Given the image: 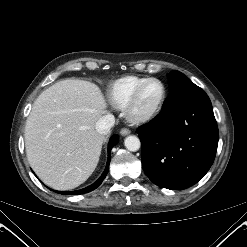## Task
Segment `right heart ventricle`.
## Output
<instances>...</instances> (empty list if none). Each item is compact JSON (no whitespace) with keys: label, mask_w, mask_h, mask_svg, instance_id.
Wrapping results in <instances>:
<instances>
[{"label":"right heart ventricle","mask_w":247,"mask_h":247,"mask_svg":"<svg viewBox=\"0 0 247 247\" xmlns=\"http://www.w3.org/2000/svg\"><path fill=\"white\" fill-rule=\"evenodd\" d=\"M148 77L125 76L115 80L109 87L108 97L113 106L124 109L136 87Z\"/></svg>","instance_id":"obj_1"}]
</instances>
